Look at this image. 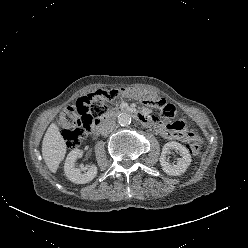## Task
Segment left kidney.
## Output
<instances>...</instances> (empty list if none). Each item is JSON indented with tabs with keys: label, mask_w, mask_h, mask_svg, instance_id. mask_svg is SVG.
<instances>
[{
	"label": "left kidney",
	"mask_w": 248,
	"mask_h": 248,
	"mask_svg": "<svg viewBox=\"0 0 248 248\" xmlns=\"http://www.w3.org/2000/svg\"><path fill=\"white\" fill-rule=\"evenodd\" d=\"M170 149H175L176 151H179L182 156L178 160L177 164L171 165L166 159V155L170 153ZM191 161H192L191 155L188 149L185 146L181 145L180 143L171 141V142L166 143L163 146L162 153L160 156V164H161L162 170L166 174L172 175V176H179L185 173Z\"/></svg>",
	"instance_id": "obj_1"
}]
</instances>
